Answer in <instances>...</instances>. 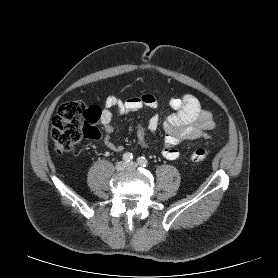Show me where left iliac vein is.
I'll use <instances>...</instances> for the list:
<instances>
[{"label": "left iliac vein", "instance_id": "left-iliac-vein-1", "mask_svg": "<svg viewBox=\"0 0 278 278\" xmlns=\"http://www.w3.org/2000/svg\"><path fill=\"white\" fill-rule=\"evenodd\" d=\"M137 168V164L135 162H131L127 165L128 170H135Z\"/></svg>", "mask_w": 278, "mask_h": 278}]
</instances>
